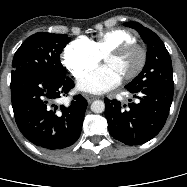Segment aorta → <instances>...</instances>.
<instances>
[{
  "mask_svg": "<svg viewBox=\"0 0 187 187\" xmlns=\"http://www.w3.org/2000/svg\"><path fill=\"white\" fill-rule=\"evenodd\" d=\"M91 110L94 113H102L105 110V103L102 100H95L91 104Z\"/></svg>",
  "mask_w": 187,
  "mask_h": 187,
  "instance_id": "762f6f07",
  "label": "aorta"
}]
</instances>
